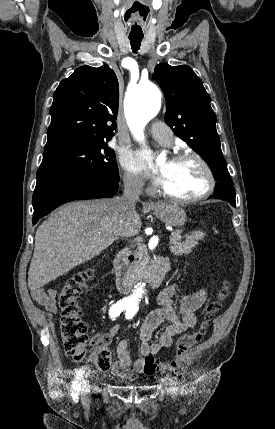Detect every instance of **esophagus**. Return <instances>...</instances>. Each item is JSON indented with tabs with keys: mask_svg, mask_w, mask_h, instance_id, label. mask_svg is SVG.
<instances>
[{
	"mask_svg": "<svg viewBox=\"0 0 275 429\" xmlns=\"http://www.w3.org/2000/svg\"><path fill=\"white\" fill-rule=\"evenodd\" d=\"M150 205H151V206H157V203H155V202H151V203H150Z\"/></svg>",
	"mask_w": 275,
	"mask_h": 429,
	"instance_id": "34e87169",
	"label": "esophagus"
}]
</instances>
